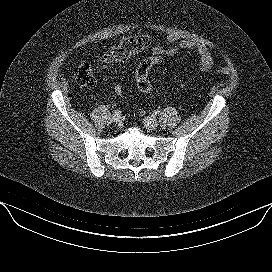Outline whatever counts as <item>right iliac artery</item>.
<instances>
[{
	"mask_svg": "<svg viewBox=\"0 0 272 272\" xmlns=\"http://www.w3.org/2000/svg\"><path fill=\"white\" fill-rule=\"evenodd\" d=\"M120 114H121L120 110H116L115 113H114L115 116H120Z\"/></svg>",
	"mask_w": 272,
	"mask_h": 272,
	"instance_id": "82829eb1",
	"label": "right iliac artery"
}]
</instances>
